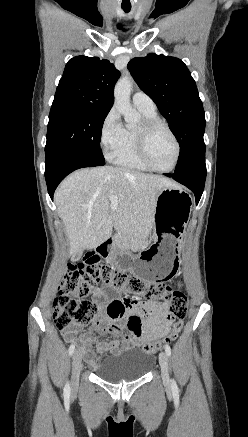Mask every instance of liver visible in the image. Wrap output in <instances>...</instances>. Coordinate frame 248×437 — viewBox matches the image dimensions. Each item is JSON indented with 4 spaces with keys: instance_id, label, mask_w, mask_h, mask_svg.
I'll return each mask as SVG.
<instances>
[{
    "instance_id": "6515ba94",
    "label": "liver",
    "mask_w": 248,
    "mask_h": 437,
    "mask_svg": "<svg viewBox=\"0 0 248 437\" xmlns=\"http://www.w3.org/2000/svg\"><path fill=\"white\" fill-rule=\"evenodd\" d=\"M169 179L119 167L84 168L57 188L54 201L69 241V255L93 249L107 240L113 227L134 242L146 240L153 228L157 196ZM118 198L111 210L109 197Z\"/></svg>"
}]
</instances>
